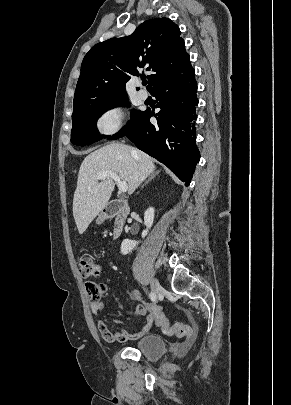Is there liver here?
I'll use <instances>...</instances> for the list:
<instances>
[{"label":"liver","instance_id":"obj_1","mask_svg":"<svg viewBox=\"0 0 291 405\" xmlns=\"http://www.w3.org/2000/svg\"><path fill=\"white\" fill-rule=\"evenodd\" d=\"M154 170L149 155L120 143L108 144L86 156L79 169L73 198V216L79 233L83 234L106 206L115 187L111 178L98 182V173H116L121 180L128 182V194L131 195Z\"/></svg>","mask_w":291,"mask_h":405}]
</instances>
